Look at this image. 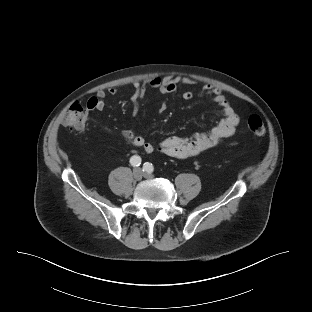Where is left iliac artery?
Instances as JSON below:
<instances>
[{
    "label": "left iliac artery",
    "mask_w": 312,
    "mask_h": 312,
    "mask_svg": "<svg viewBox=\"0 0 312 312\" xmlns=\"http://www.w3.org/2000/svg\"><path fill=\"white\" fill-rule=\"evenodd\" d=\"M153 170H154V167H153L152 163H149V162L144 163L143 171H146L148 173H152Z\"/></svg>",
    "instance_id": "left-iliac-artery-1"
}]
</instances>
